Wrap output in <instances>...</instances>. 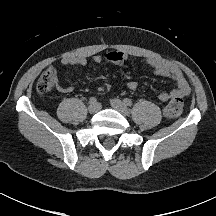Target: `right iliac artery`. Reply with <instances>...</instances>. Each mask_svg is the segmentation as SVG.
Returning a JSON list of instances; mask_svg holds the SVG:
<instances>
[{
  "label": "right iliac artery",
  "mask_w": 216,
  "mask_h": 216,
  "mask_svg": "<svg viewBox=\"0 0 216 216\" xmlns=\"http://www.w3.org/2000/svg\"><path fill=\"white\" fill-rule=\"evenodd\" d=\"M90 104H95L97 102L95 97H91L89 100Z\"/></svg>",
  "instance_id": "82829eb1"
}]
</instances>
